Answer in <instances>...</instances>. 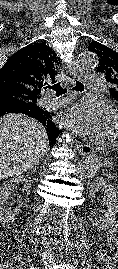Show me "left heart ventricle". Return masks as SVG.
Wrapping results in <instances>:
<instances>
[{"instance_id":"b2bd125f","label":"left heart ventricle","mask_w":118,"mask_h":269,"mask_svg":"<svg viewBox=\"0 0 118 269\" xmlns=\"http://www.w3.org/2000/svg\"><path fill=\"white\" fill-rule=\"evenodd\" d=\"M111 138H118V118L113 116V120L108 134Z\"/></svg>"}]
</instances>
